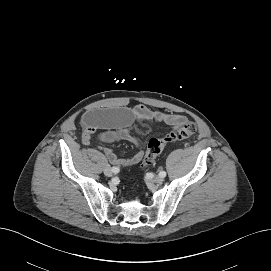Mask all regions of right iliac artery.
<instances>
[{
  "instance_id": "82829eb1",
  "label": "right iliac artery",
  "mask_w": 271,
  "mask_h": 271,
  "mask_svg": "<svg viewBox=\"0 0 271 271\" xmlns=\"http://www.w3.org/2000/svg\"><path fill=\"white\" fill-rule=\"evenodd\" d=\"M111 170H112V172L113 173H118L119 171H120V169L118 168V167H115V166H113L112 168H111Z\"/></svg>"
}]
</instances>
